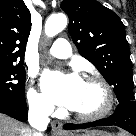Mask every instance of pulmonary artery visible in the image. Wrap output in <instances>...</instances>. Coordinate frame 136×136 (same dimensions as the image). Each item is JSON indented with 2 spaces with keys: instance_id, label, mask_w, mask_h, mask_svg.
<instances>
[{
  "instance_id": "obj_1",
  "label": "pulmonary artery",
  "mask_w": 136,
  "mask_h": 136,
  "mask_svg": "<svg viewBox=\"0 0 136 136\" xmlns=\"http://www.w3.org/2000/svg\"><path fill=\"white\" fill-rule=\"evenodd\" d=\"M71 53V45L64 38L57 39L49 49V54L57 58H68Z\"/></svg>"
}]
</instances>
